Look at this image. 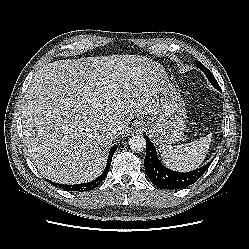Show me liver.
I'll return each mask as SVG.
<instances>
[{
  "label": "liver",
  "instance_id": "6515ba94",
  "mask_svg": "<svg viewBox=\"0 0 249 249\" xmlns=\"http://www.w3.org/2000/svg\"><path fill=\"white\" fill-rule=\"evenodd\" d=\"M158 62L140 55L59 60L38 70L23 98L21 118L27 153L48 180L78 184L98 177L112 142L134 116L152 115ZM119 129L116 138L109 136Z\"/></svg>",
  "mask_w": 249,
  "mask_h": 249
}]
</instances>
